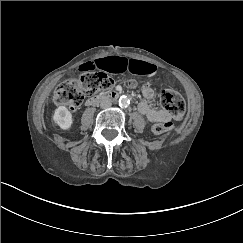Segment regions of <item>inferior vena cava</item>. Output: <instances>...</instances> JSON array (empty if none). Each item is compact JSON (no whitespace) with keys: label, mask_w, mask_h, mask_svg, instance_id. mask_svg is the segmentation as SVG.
<instances>
[{"label":"inferior vena cava","mask_w":243,"mask_h":243,"mask_svg":"<svg viewBox=\"0 0 243 243\" xmlns=\"http://www.w3.org/2000/svg\"><path fill=\"white\" fill-rule=\"evenodd\" d=\"M111 105H112V103H111V101L108 100V99H104V100H102V101L100 102V107H101L102 109L110 108Z\"/></svg>","instance_id":"602c4592"}]
</instances>
